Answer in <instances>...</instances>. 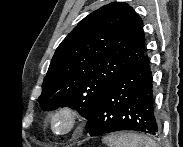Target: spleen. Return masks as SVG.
Instances as JSON below:
<instances>
[{
  "label": "spleen",
  "mask_w": 183,
  "mask_h": 147,
  "mask_svg": "<svg viewBox=\"0 0 183 147\" xmlns=\"http://www.w3.org/2000/svg\"><path fill=\"white\" fill-rule=\"evenodd\" d=\"M102 142L108 147H158L151 138L137 133H114L103 137Z\"/></svg>",
  "instance_id": "3e777b00"
}]
</instances>
